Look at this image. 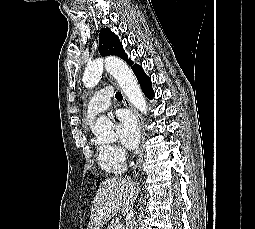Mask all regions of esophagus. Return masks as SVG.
I'll list each match as a JSON object with an SVG mask.
<instances>
[{"label": "esophagus", "mask_w": 255, "mask_h": 229, "mask_svg": "<svg viewBox=\"0 0 255 229\" xmlns=\"http://www.w3.org/2000/svg\"><path fill=\"white\" fill-rule=\"evenodd\" d=\"M123 101L126 107L130 108L131 111L134 113L137 122H138V126L139 129L141 131V145L138 151V157L136 160V164L134 166V170H133V176L134 178H137L139 176L140 173V168H141V164H142V160H143V144L145 141V130H144V121L142 116L132 107V105L130 104L129 100L123 95Z\"/></svg>", "instance_id": "obj_1"}]
</instances>
